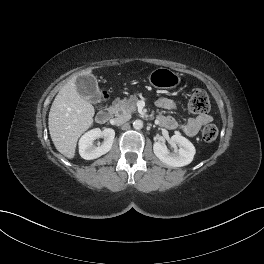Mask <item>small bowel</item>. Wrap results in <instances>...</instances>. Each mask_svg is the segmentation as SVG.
Wrapping results in <instances>:
<instances>
[{
  "label": "small bowel",
  "mask_w": 264,
  "mask_h": 264,
  "mask_svg": "<svg viewBox=\"0 0 264 264\" xmlns=\"http://www.w3.org/2000/svg\"><path fill=\"white\" fill-rule=\"evenodd\" d=\"M156 105L160 108L168 110H173L176 108V103L166 97H160L159 99H157ZM211 121L212 117L209 114H201L196 117L188 118L183 122H178L171 116L160 115L158 117V122L163 127L170 130L179 129L188 136L196 135L203 125Z\"/></svg>",
  "instance_id": "1"
}]
</instances>
